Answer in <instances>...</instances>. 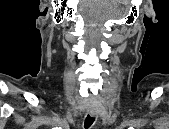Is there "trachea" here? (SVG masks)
<instances>
[{"label": "trachea", "instance_id": "3493384b", "mask_svg": "<svg viewBox=\"0 0 169 129\" xmlns=\"http://www.w3.org/2000/svg\"><path fill=\"white\" fill-rule=\"evenodd\" d=\"M94 121H95V118H93L90 115H87L84 121V128L85 129L90 128Z\"/></svg>", "mask_w": 169, "mask_h": 129}]
</instances>
